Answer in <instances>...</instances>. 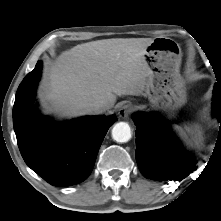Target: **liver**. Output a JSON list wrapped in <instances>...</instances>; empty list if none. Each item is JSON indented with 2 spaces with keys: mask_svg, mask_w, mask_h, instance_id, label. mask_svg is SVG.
Wrapping results in <instances>:
<instances>
[{
  "mask_svg": "<svg viewBox=\"0 0 221 221\" xmlns=\"http://www.w3.org/2000/svg\"><path fill=\"white\" fill-rule=\"evenodd\" d=\"M152 38L92 41L62 52L46 69L40 96L64 117L87 114V105L113 107L118 95H143L150 70L144 60Z\"/></svg>",
  "mask_w": 221,
  "mask_h": 221,
  "instance_id": "6515ba94",
  "label": "liver"
}]
</instances>
